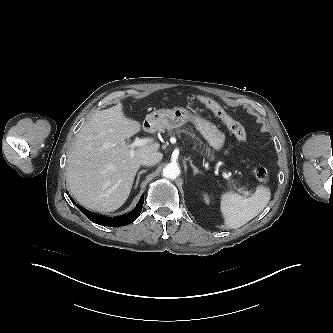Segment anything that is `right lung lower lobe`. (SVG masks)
<instances>
[{
	"mask_svg": "<svg viewBox=\"0 0 333 333\" xmlns=\"http://www.w3.org/2000/svg\"><path fill=\"white\" fill-rule=\"evenodd\" d=\"M69 198L71 199L73 204H75L77 206V208L80 209L92 222L102 225V226H112V227L113 226H124V225L130 224L133 221H135L136 218L139 216V214L142 210V207H143V203H144V197L142 195L133 211H131L128 214L112 218V217H105V216H101V215L95 214L93 212H90V211L82 208L78 204H76L71 196H69Z\"/></svg>",
	"mask_w": 333,
	"mask_h": 333,
	"instance_id": "98d812e1",
	"label": "right lung lower lobe"
}]
</instances>
